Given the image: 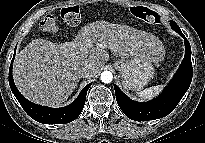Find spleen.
I'll return each mask as SVG.
<instances>
[{
    "mask_svg": "<svg viewBox=\"0 0 205 143\" xmlns=\"http://www.w3.org/2000/svg\"><path fill=\"white\" fill-rule=\"evenodd\" d=\"M164 88V85H157L153 87L146 88L145 90L139 92L137 95L138 97L147 100L152 99L156 95H158Z\"/></svg>",
    "mask_w": 205,
    "mask_h": 143,
    "instance_id": "3e777b00",
    "label": "spleen"
}]
</instances>
